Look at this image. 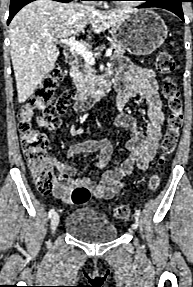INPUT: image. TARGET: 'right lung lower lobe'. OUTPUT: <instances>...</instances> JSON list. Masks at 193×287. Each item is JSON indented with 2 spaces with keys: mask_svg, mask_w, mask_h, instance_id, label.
<instances>
[{
  "mask_svg": "<svg viewBox=\"0 0 193 287\" xmlns=\"http://www.w3.org/2000/svg\"><path fill=\"white\" fill-rule=\"evenodd\" d=\"M35 1V0H11L10 2V13H9V18L7 23L9 24L10 21L12 20V18L14 17V15L25 5H27L28 3ZM55 1H59V2H70L72 0H55Z\"/></svg>",
  "mask_w": 193,
  "mask_h": 287,
  "instance_id": "98d812e1",
  "label": "right lung lower lobe"
}]
</instances>
